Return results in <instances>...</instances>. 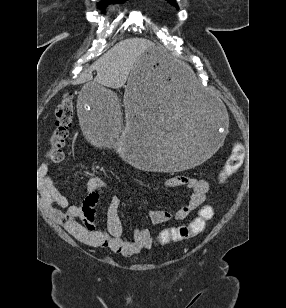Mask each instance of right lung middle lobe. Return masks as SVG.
Masks as SVG:
<instances>
[{
    "label": "right lung middle lobe",
    "instance_id": "1",
    "mask_svg": "<svg viewBox=\"0 0 286 308\" xmlns=\"http://www.w3.org/2000/svg\"><path fill=\"white\" fill-rule=\"evenodd\" d=\"M120 2V1H119ZM118 3V2H117ZM106 6V4H104V5H100L99 7L100 8H104Z\"/></svg>",
    "mask_w": 286,
    "mask_h": 308
}]
</instances>
